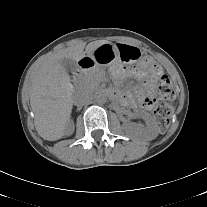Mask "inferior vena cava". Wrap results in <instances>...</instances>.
Returning a JSON list of instances; mask_svg holds the SVG:
<instances>
[{
	"instance_id": "1",
	"label": "inferior vena cava",
	"mask_w": 207,
	"mask_h": 207,
	"mask_svg": "<svg viewBox=\"0 0 207 207\" xmlns=\"http://www.w3.org/2000/svg\"><path fill=\"white\" fill-rule=\"evenodd\" d=\"M93 98L94 96L89 90L82 89L74 96V103L77 106L87 105L92 102Z\"/></svg>"
}]
</instances>
